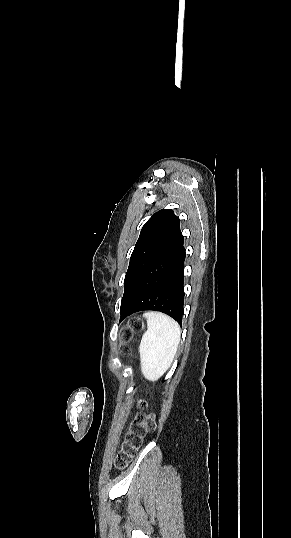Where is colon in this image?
<instances>
[{
    "label": "colon",
    "mask_w": 291,
    "mask_h": 538,
    "mask_svg": "<svg viewBox=\"0 0 291 538\" xmlns=\"http://www.w3.org/2000/svg\"><path fill=\"white\" fill-rule=\"evenodd\" d=\"M132 323L137 328L141 326L138 320H134ZM121 336L125 341H128L132 337V329L130 327L123 329ZM121 353L127 355L129 349L123 347ZM138 407L141 409L146 408V401L143 399L138 400ZM154 425L155 419L152 414L140 411L135 415L129 425L128 431L124 436V440L121 443L120 450L115 459V466L118 469H124L128 465L141 447L144 437L151 429H153Z\"/></svg>",
    "instance_id": "5ec220e1"
}]
</instances>
